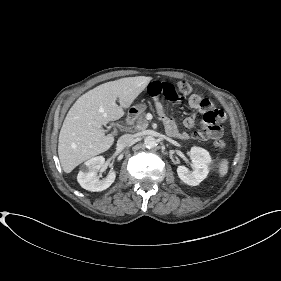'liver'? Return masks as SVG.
I'll return each instance as SVG.
<instances>
[{
    "mask_svg": "<svg viewBox=\"0 0 281 281\" xmlns=\"http://www.w3.org/2000/svg\"><path fill=\"white\" fill-rule=\"evenodd\" d=\"M151 80L146 76L121 78L101 84L77 99L64 119L58 140L59 160L65 173L113 145L114 136L105 135L102 126L120 119Z\"/></svg>",
    "mask_w": 281,
    "mask_h": 281,
    "instance_id": "6515ba94",
    "label": "liver"
}]
</instances>
